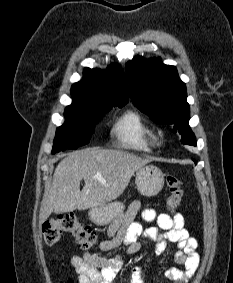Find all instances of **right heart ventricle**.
I'll return each instance as SVG.
<instances>
[{
	"label": "right heart ventricle",
	"instance_id": "1",
	"mask_svg": "<svg viewBox=\"0 0 233 283\" xmlns=\"http://www.w3.org/2000/svg\"><path fill=\"white\" fill-rule=\"evenodd\" d=\"M112 132L121 146L143 153L152 152L157 141L155 130L136 111L123 114Z\"/></svg>",
	"mask_w": 233,
	"mask_h": 283
}]
</instances>
